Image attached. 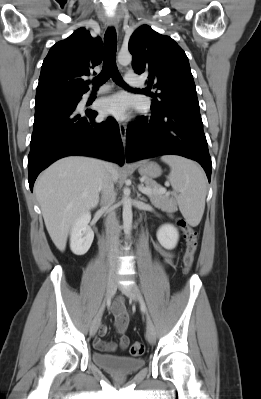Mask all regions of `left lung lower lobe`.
<instances>
[{
  "instance_id": "obj_1",
  "label": "left lung lower lobe",
  "mask_w": 261,
  "mask_h": 399,
  "mask_svg": "<svg viewBox=\"0 0 261 399\" xmlns=\"http://www.w3.org/2000/svg\"><path fill=\"white\" fill-rule=\"evenodd\" d=\"M126 133V161L174 154L197 161L211 178V157L199 107L180 106L138 117Z\"/></svg>"
}]
</instances>
